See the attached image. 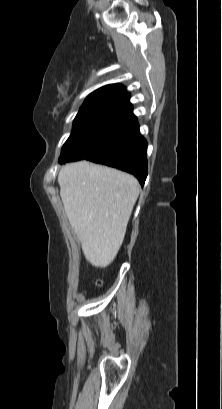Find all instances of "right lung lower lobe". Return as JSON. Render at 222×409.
<instances>
[{
  "mask_svg": "<svg viewBox=\"0 0 222 409\" xmlns=\"http://www.w3.org/2000/svg\"><path fill=\"white\" fill-rule=\"evenodd\" d=\"M133 174L143 186L147 177V142L132 109L115 123L102 146L84 158Z\"/></svg>",
  "mask_w": 222,
  "mask_h": 409,
  "instance_id": "obj_1",
  "label": "right lung lower lobe"
}]
</instances>
